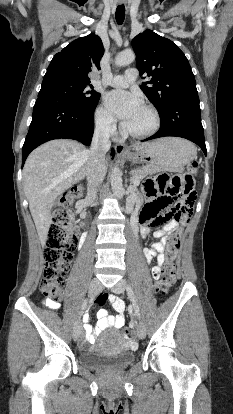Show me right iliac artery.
<instances>
[{
  "mask_svg": "<svg viewBox=\"0 0 233 414\" xmlns=\"http://www.w3.org/2000/svg\"><path fill=\"white\" fill-rule=\"evenodd\" d=\"M88 299H85V301L83 302L82 308H81V313L80 316L83 314L84 310L86 309L87 305H88ZM92 301V299L90 300Z\"/></svg>",
  "mask_w": 233,
  "mask_h": 414,
  "instance_id": "obj_1",
  "label": "right iliac artery"
}]
</instances>
